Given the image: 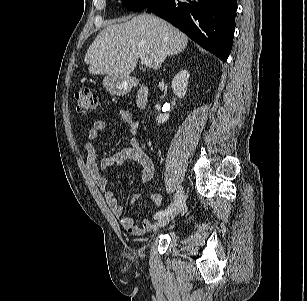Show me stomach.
Here are the masks:
<instances>
[{
    "mask_svg": "<svg viewBox=\"0 0 307 301\" xmlns=\"http://www.w3.org/2000/svg\"><path fill=\"white\" fill-rule=\"evenodd\" d=\"M104 88L114 95H125L129 92L131 85L128 77H116L107 75L103 79Z\"/></svg>",
    "mask_w": 307,
    "mask_h": 301,
    "instance_id": "stomach-1",
    "label": "stomach"
}]
</instances>
